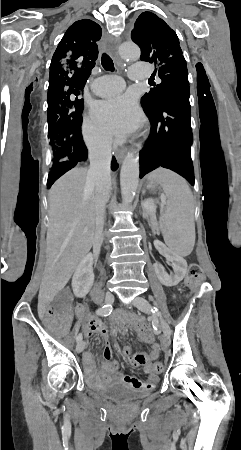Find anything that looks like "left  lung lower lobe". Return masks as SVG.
I'll list each match as a JSON object with an SVG mask.
<instances>
[{"instance_id":"obj_1","label":"left lung lower lobe","mask_w":241,"mask_h":450,"mask_svg":"<svg viewBox=\"0 0 241 450\" xmlns=\"http://www.w3.org/2000/svg\"><path fill=\"white\" fill-rule=\"evenodd\" d=\"M189 94L181 93L165 100L159 107L144 109L151 123V132L139 154L140 178L158 167H164L194 185Z\"/></svg>"}]
</instances>
